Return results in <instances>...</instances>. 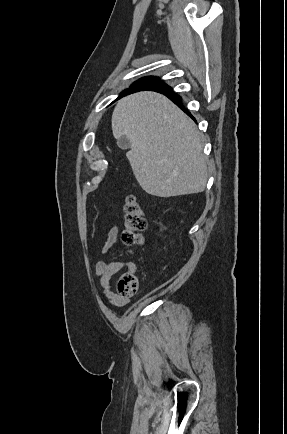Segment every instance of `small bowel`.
<instances>
[{"label":"small bowel","mask_w":287,"mask_h":434,"mask_svg":"<svg viewBox=\"0 0 287 434\" xmlns=\"http://www.w3.org/2000/svg\"><path fill=\"white\" fill-rule=\"evenodd\" d=\"M118 227L113 226L107 233L106 239L102 245V253L107 254L117 241ZM126 269L129 271H134V266L123 260H113V261H99L96 264V276L98 282L103 289V293L109 303L114 306H122L129 302V299L122 298L115 294L111 287L112 277Z\"/></svg>","instance_id":"small-bowel-1"}]
</instances>
